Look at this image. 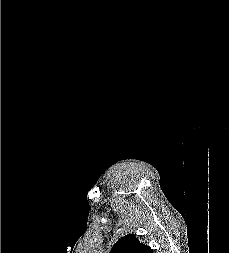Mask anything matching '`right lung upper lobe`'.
<instances>
[{"label": "right lung upper lobe", "instance_id": "obj_1", "mask_svg": "<svg viewBox=\"0 0 229 253\" xmlns=\"http://www.w3.org/2000/svg\"><path fill=\"white\" fill-rule=\"evenodd\" d=\"M110 253H153V250L141 243L134 234H128L114 244Z\"/></svg>", "mask_w": 229, "mask_h": 253}]
</instances>
